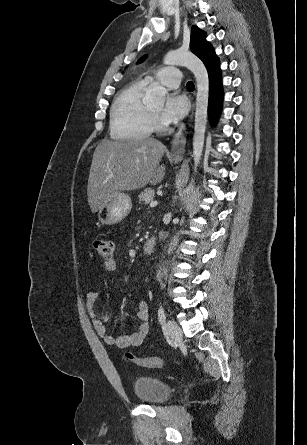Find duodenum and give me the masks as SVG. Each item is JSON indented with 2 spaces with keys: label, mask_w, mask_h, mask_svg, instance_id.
I'll return each instance as SVG.
<instances>
[{
  "label": "duodenum",
  "mask_w": 307,
  "mask_h": 445,
  "mask_svg": "<svg viewBox=\"0 0 307 445\" xmlns=\"http://www.w3.org/2000/svg\"><path fill=\"white\" fill-rule=\"evenodd\" d=\"M155 246H156V239L153 236V237L149 238L146 241V243L144 244V247H143L144 253L147 254V255L152 254L154 252V250H155Z\"/></svg>",
  "instance_id": "410a0bca"
}]
</instances>
